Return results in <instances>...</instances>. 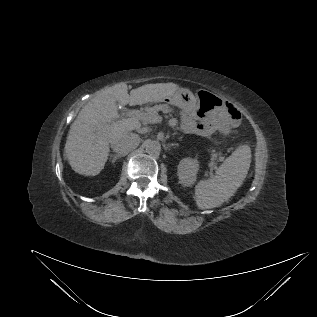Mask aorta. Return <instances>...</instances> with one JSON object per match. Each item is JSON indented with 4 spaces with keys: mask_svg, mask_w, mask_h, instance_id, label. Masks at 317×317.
<instances>
[{
    "mask_svg": "<svg viewBox=\"0 0 317 317\" xmlns=\"http://www.w3.org/2000/svg\"><path fill=\"white\" fill-rule=\"evenodd\" d=\"M145 150L151 156H159L161 152V144L156 140H147L145 142Z\"/></svg>",
    "mask_w": 317,
    "mask_h": 317,
    "instance_id": "762f6f07",
    "label": "aorta"
}]
</instances>
